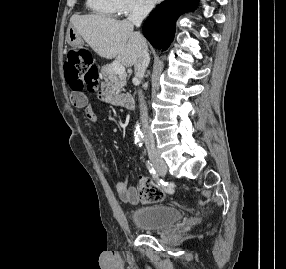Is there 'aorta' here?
Returning <instances> with one entry per match:
<instances>
[{
	"instance_id": "1",
	"label": "aorta",
	"mask_w": 286,
	"mask_h": 269,
	"mask_svg": "<svg viewBox=\"0 0 286 269\" xmlns=\"http://www.w3.org/2000/svg\"><path fill=\"white\" fill-rule=\"evenodd\" d=\"M134 137H135V141L136 143L139 144V146L142 145V140H143V136H142V133L139 129V126L137 125L136 129H135V132H134Z\"/></svg>"
}]
</instances>
